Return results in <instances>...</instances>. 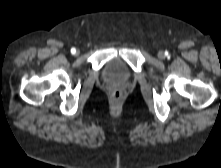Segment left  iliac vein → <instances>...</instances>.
Here are the masks:
<instances>
[{"label":"left iliac vein","instance_id":"1","mask_svg":"<svg viewBox=\"0 0 221 168\" xmlns=\"http://www.w3.org/2000/svg\"><path fill=\"white\" fill-rule=\"evenodd\" d=\"M158 57H159L160 59H164V58H165L164 52H163V51H160V52L158 53Z\"/></svg>","mask_w":221,"mask_h":168}]
</instances>
